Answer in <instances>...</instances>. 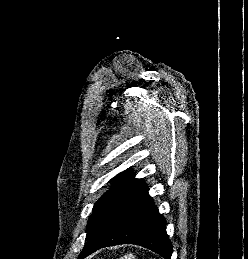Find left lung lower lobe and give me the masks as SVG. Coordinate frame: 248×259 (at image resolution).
<instances>
[{
    "label": "left lung lower lobe",
    "mask_w": 248,
    "mask_h": 259,
    "mask_svg": "<svg viewBox=\"0 0 248 259\" xmlns=\"http://www.w3.org/2000/svg\"><path fill=\"white\" fill-rule=\"evenodd\" d=\"M120 244L140 245L165 259L171 258L172 245L166 234V220L148 194L129 204L100 227L89 238L78 259L102 247Z\"/></svg>",
    "instance_id": "left-lung-lower-lobe-1"
}]
</instances>
